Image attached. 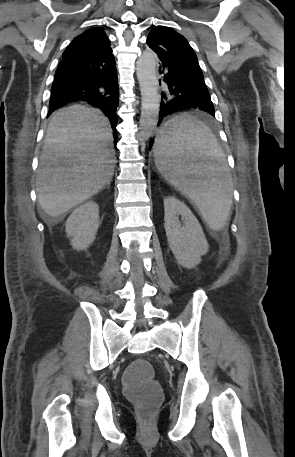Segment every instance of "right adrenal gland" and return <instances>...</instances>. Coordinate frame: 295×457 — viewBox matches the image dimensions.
I'll return each mask as SVG.
<instances>
[{"label": "right adrenal gland", "instance_id": "1", "mask_svg": "<svg viewBox=\"0 0 295 457\" xmlns=\"http://www.w3.org/2000/svg\"><path fill=\"white\" fill-rule=\"evenodd\" d=\"M106 186L110 189V182H108V183L106 184Z\"/></svg>", "mask_w": 295, "mask_h": 457}]
</instances>
